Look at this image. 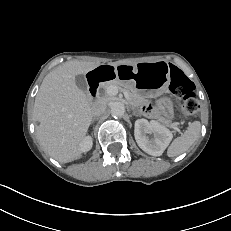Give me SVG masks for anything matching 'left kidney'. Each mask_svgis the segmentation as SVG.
<instances>
[{"label": "left kidney", "mask_w": 231, "mask_h": 231, "mask_svg": "<svg viewBox=\"0 0 231 231\" xmlns=\"http://www.w3.org/2000/svg\"><path fill=\"white\" fill-rule=\"evenodd\" d=\"M147 134H153L154 139H149ZM134 136L138 146L152 156H161L173 137L170 130L157 121L146 119L135 121Z\"/></svg>", "instance_id": "left-kidney-1"}]
</instances>
